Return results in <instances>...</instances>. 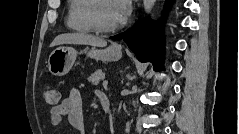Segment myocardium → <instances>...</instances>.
Returning <instances> with one entry per match:
<instances>
[{
	"mask_svg": "<svg viewBox=\"0 0 239 134\" xmlns=\"http://www.w3.org/2000/svg\"><path fill=\"white\" fill-rule=\"evenodd\" d=\"M104 0H92L91 5L88 10V19L89 23L92 26L93 30L99 32V33H109L118 28L117 25L115 26H104L100 23L99 18H98V7L100 2Z\"/></svg>",
	"mask_w": 239,
	"mask_h": 134,
	"instance_id": "myocardium-1",
	"label": "myocardium"
}]
</instances>
